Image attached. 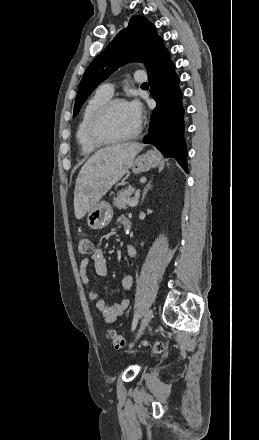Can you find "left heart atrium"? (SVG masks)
Segmentation results:
<instances>
[{
  "label": "left heart atrium",
  "mask_w": 259,
  "mask_h": 440,
  "mask_svg": "<svg viewBox=\"0 0 259 440\" xmlns=\"http://www.w3.org/2000/svg\"><path fill=\"white\" fill-rule=\"evenodd\" d=\"M126 105L133 120L136 122L137 125H139L143 119L142 104L138 100L134 99L130 102H127Z\"/></svg>",
  "instance_id": "1"
}]
</instances>
